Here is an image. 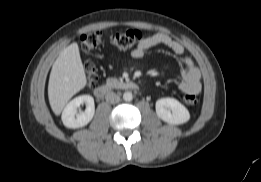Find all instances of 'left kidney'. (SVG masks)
<instances>
[{
  "label": "left kidney",
  "instance_id": "5707ae66",
  "mask_svg": "<svg viewBox=\"0 0 261 182\" xmlns=\"http://www.w3.org/2000/svg\"><path fill=\"white\" fill-rule=\"evenodd\" d=\"M156 114L164 122L180 125L189 121L187 108L174 98H161L156 101Z\"/></svg>",
  "mask_w": 261,
  "mask_h": 182
}]
</instances>
